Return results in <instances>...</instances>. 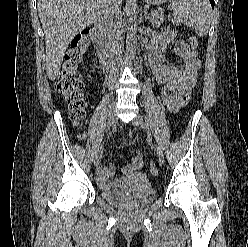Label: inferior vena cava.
Instances as JSON below:
<instances>
[{"label":"inferior vena cava","instance_id":"obj_1","mask_svg":"<svg viewBox=\"0 0 248 247\" xmlns=\"http://www.w3.org/2000/svg\"><path fill=\"white\" fill-rule=\"evenodd\" d=\"M121 0H107L104 7V23L110 37L111 58L114 61L122 59V12ZM117 67V64H114Z\"/></svg>","mask_w":248,"mask_h":247}]
</instances>
